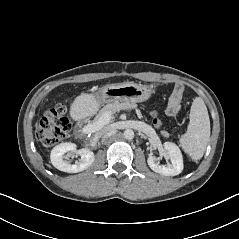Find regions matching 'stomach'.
Instances as JSON below:
<instances>
[{
	"instance_id": "0dacf381",
	"label": "stomach",
	"mask_w": 239,
	"mask_h": 239,
	"mask_svg": "<svg viewBox=\"0 0 239 239\" xmlns=\"http://www.w3.org/2000/svg\"><path fill=\"white\" fill-rule=\"evenodd\" d=\"M151 93V88L147 85L124 82L106 85L100 88L95 95L102 103H111L115 101L138 103L149 99Z\"/></svg>"
}]
</instances>
